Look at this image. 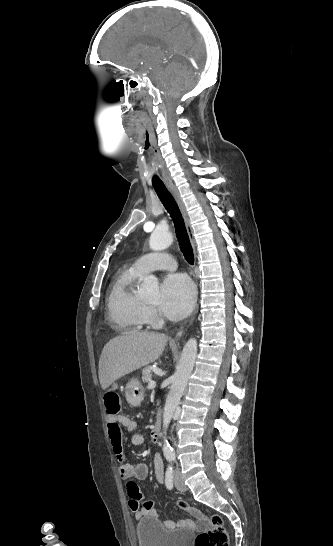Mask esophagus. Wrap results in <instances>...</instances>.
I'll use <instances>...</instances> for the list:
<instances>
[{"instance_id": "obj_1", "label": "esophagus", "mask_w": 333, "mask_h": 546, "mask_svg": "<svg viewBox=\"0 0 333 546\" xmlns=\"http://www.w3.org/2000/svg\"><path fill=\"white\" fill-rule=\"evenodd\" d=\"M167 188L168 190L170 191V193L172 194V196L174 197L181 213H182V216H183V219H184V222L186 224V228H187V231H188V234H189V238L191 240V243H192V246H193V249H194V257H195V261H196V258H197V254H196V249H195V240H194V236H193V229H192V226L190 224V219H189V216H188V213H187V210H186V207H185V204L176 188L175 185L173 184H167ZM198 310V306H196L195 308V312L194 314L197 312ZM182 333H183V327L178 331V333L176 334V337L175 339L178 340L180 339V337L182 336Z\"/></svg>"}]
</instances>
